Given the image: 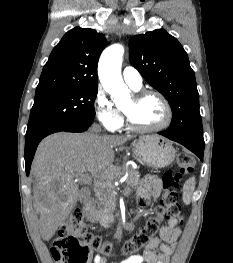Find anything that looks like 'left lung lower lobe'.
I'll use <instances>...</instances> for the list:
<instances>
[{"instance_id": "1", "label": "left lung lower lobe", "mask_w": 233, "mask_h": 263, "mask_svg": "<svg viewBox=\"0 0 233 263\" xmlns=\"http://www.w3.org/2000/svg\"><path fill=\"white\" fill-rule=\"evenodd\" d=\"M159 134L184 145L186 148H188L189 150L194 152L201 160H203L204 145H199V144H195L193 142H189V141L181 139L177 136L170 135L167 132H159Z\"/></svg>"}]
</instances>
